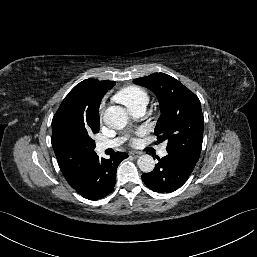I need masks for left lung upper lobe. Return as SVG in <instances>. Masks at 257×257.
Masks as SVG:
<instances>
[{
  "label": "left lung upper lobe",
  "mask_w": 257,
  "mask_h": 257,
  "mask_svg": "<svg viewBox=\"0 0 257 257\" xmlns=\"http://www.w3.org/2000/svg\"><path fill=\"white\" fill-rule=\"evenodd\" d=\"M157 96L161 116L154 133L158 141L166 140L167 152L176 153L196 162L202 148L204 117L198 97L175 78L154 73L133 80Z\"/></svg>",
  "instance_id": "1"
}]
</instances>
